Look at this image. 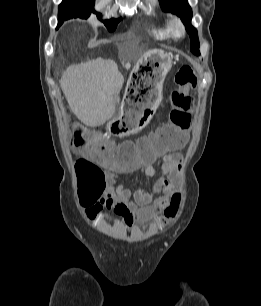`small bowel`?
Wrapping results in <instances>:
<instances>
[{
    "label": "small bowel",
    "instance_id": "c3829d8e",
    "mask_svg": "<svg viewBox=\"0 0 261 306\" xmlns=\"http://www.w3.org/2000/svg\"><path fill=\"white\" fill-rule=\"evenodd\" d=\"M155 163L161 170V176L154 182H151L156 175L153 163H140L131 168L122 167L108 171L105 195L86 211V216L94 219L103 209H113L129 229L137 222H148L160 214L163 216L158 219L157 225L174 219L181 204L179 182L182 156L179 153H168L158 158ZM126 172L141 173L146 179L145 185L131 190L123 184H116L118 177Z\"/></svg>",
    "mask_w": 261,
    "mask_h": 306
}]
</instances>
